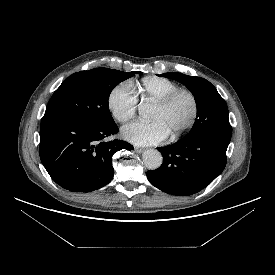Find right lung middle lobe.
I'll use <instances>...</instances> for the list:
<instances>
[{
	"mask_svg": "<svg viewBox=\"0 0 275 275\" xmlns=\"http://www.w3.org/2000/svg\"><path fill=\"white\" fill-rule=\"evenodd\" d=\"M140 72H122L109 68L80 71L69 76L54 92L44 118L68 116L112 125L108 99L120 82Z\"/></svg>",
	"mask_w": 275,
	"mask_h": 275,
	"instance_id": "right-lung-middle-lobe-1",
	"label": "right lung middle lobe"
}]
</instances>
